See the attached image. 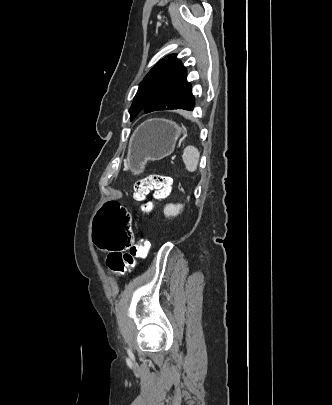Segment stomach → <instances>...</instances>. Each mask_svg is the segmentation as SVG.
<instances>
[{
    "instance_id": "stomach-1",
    "label": "stomach",
    "mask_w": 332,
    "mask_h": 405,
    "mask_svg": "<svg viewBox=\"0 0 332 405\" xmlns=\"http://www.w3.org/2000/svg\"><path fill=\"white\" fill-rule=\"evenodd\" d=\"M184 129L167 120L151 119L141 124L132 135L127 168L139 174L149 160H161L174 151L176 141Z\"/></svg>"
}]
</instances>
